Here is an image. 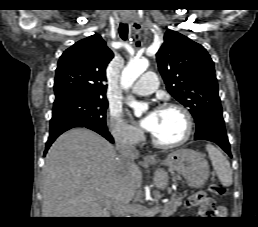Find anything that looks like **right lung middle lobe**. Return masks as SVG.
<instances>
[{
	"label": "right lung middle lobe",
	"mask_w": 258,
	"mask_h": 227,
	"mask_svg": "<svg viewBox=\"0 0 258 227\" xmlns=\"http://www.w3.org/2000/svg\"><path fill=\"white\" fill-rule=\"evenodd\" d=\"M107 107L108 101L106 97L66 92L56 95L52 119L68 118L89 127L107 129Z\"/></svg>",
	"instance_id": "dd1d6c3e"
}]
</instances>
